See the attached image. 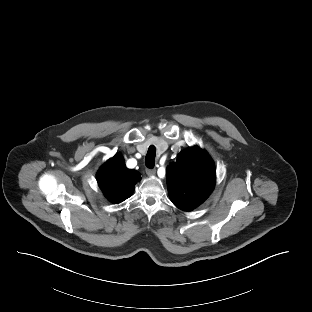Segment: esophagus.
I'll return each mask as SVG.
<instances>
[{"label": "esophagus", "instance_id": "esophagus-1", "mask_svg": "<svg viewBox=\"0 0 312 312\" xmlns=\"http://www.w3.org/2000/svg\"><path fill=\"white\" fill-rule=\"evenodd\" d=\"M146 174L148 176H154L156 174V170L155 169H146Z\"/></svg>", "mask_w": 312, "mask_h": 312}]
</instances>
